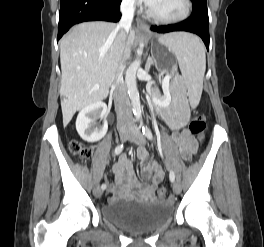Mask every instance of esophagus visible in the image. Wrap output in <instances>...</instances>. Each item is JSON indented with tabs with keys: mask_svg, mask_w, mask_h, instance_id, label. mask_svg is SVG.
I'll list each match as a JSON object with an SVG mask.
<instances>
[{
	"mask_svg": "<svg viewBox=\"0 0 264 247\" xmlns=\"http://www.w3.org/2000/svg\"><path fill=\"white\" fill-rule=\"evenodd\" d=\"M138 27L143 30L145 33L148 31V26L143 23L140 19H137Z\"/></svg>",
	"mask_w": 264,
	"mask_h": 247,
	"instance_id": "obj_1",
	"label": "esophagus"
}]
</instances>
